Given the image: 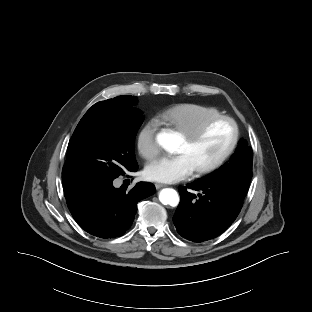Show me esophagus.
<instances>
[{
	"label": "esophagus",
	"mask_w": 312,
	"mask_h": 312,
	"mask_svg": "<svg viewBox=\"0 0 312 312\" xmlns=\"http://www.w3.org/2000/svg\"><path fill=\"white\" fill-rule=\"evenodd\" d=\"M155 187H156L157 189H160V188H162V187H166V185H165V184H162V183H155Z\"/></svg>",
	"instance_id": "esophagus-1"
}]
</instances>
